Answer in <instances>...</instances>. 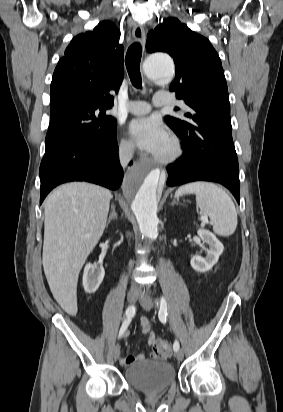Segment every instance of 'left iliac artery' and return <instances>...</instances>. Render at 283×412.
I'll return each instance as SVG.
<instances>
[{"label": "left iliac artery", "mask_w": 283, "mask_h": 412, "mask_svg": "<svg viewBox=\"0 0 283 412\" xmlns=\"http://www.w3.org/2000/svg\"><path fill=\"white\" fill-rule=\"evenodd\" d=\"M157 303L159 304V312H158L159 320L162 323L165 324L166 321H167V315H168V313H167V302H166L164 297H161L160 301L157 302ZM173 349H174L175 352H177L180 349V344L177 340H175V342L173 344Z\"/></svg>", "instance_id": "44dca946"}]
</instances>
